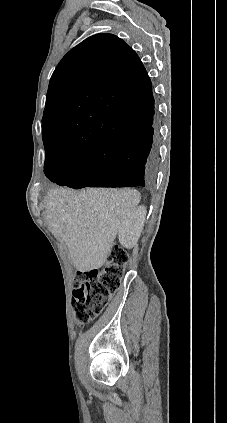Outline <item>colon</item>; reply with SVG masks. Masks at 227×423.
<instances>
[{"label": "colon", "instance_id": "obj_1", "mask_svg": "<svg viewBox=\"0 0 227 423\" xmlns=\"http://www.w3.org/2000/svg\"><path fill=\"white\" fill-rule=\"evenodd\" d=\"M127 262L126 251L115 247L111 250L103 269L77 273L72 303L78 324L89 323L103 311L120 287Z\"/></svg>", "mask_w": 227, "mask_h": 423}]
</instances>
